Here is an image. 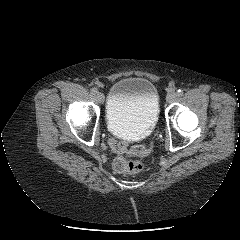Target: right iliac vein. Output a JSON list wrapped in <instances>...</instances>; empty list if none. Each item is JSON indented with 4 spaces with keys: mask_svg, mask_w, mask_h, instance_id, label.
<instances>
[{
    "mask_svg": "<svg viewBox=\"0 0 240 240\" xmlns=\"http://www.w3.org/2000/svg\"><path fill=\"white\" fill-rule=\"evenodd\" d=\"M96 99L100 104L103 103L105 99L104 94L101 92H97Z\"/></svg>",
    "mask_w": 240,
    "mask_h": 240,
    "instance_id": "63e3f726",
    "label": "right iliac vein"
}]
</instances>
